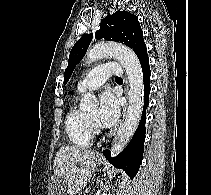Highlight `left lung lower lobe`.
I'll list each match as a JSON object with an SVG mask.
<instances>
[{"instance_id": "obj_1", "label": "left lung lower lobe", "mask_w": 211, "mask_h": 195, "mask_svg": "<svg viewBox=\"0 0 211 195\" xmlns=\"http://www.w3.org/2000/svg\"><path fill=\"white\" fill-rule=\"evenodd\" d=\"M142 71H143V81H144V108L142 113V118L139 126L134 133L130 143L127 147L116 157L112 158L110 151L104 150L103 154L106 159L112 163L116 168L123 169L131 178L136 176L140 164L142 162L143 152H144V141H145V120H146V108L149 103V93H150V67L149 58L144 57L140 60Z\"/></svg>"}]
</instances>
